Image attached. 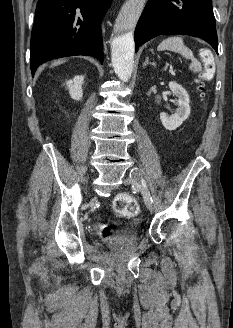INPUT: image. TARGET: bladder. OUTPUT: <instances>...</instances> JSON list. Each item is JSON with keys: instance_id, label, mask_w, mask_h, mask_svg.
<instances>
[{"instance_id": "bladder-1", "label": "bladder", "mask_w": 233, "mask_h": 328, "mask_svg": "<svg viewBox=\"0 0 233 328\" xmlns=\"http://www.w3.org/2000/svg\"><path fill=\"white\" fill-rule=\"evenodd\" d=\"M136 243V240L135 239H132L131 240V244L134 245Z\"/></svg>"}]
</instances>
